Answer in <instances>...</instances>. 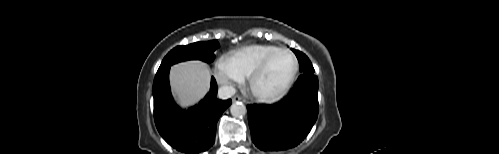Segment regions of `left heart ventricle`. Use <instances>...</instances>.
Returning a JSON list of instances; mask_svg holds the SVG:
<instances>
[{
	"instance_id": "1",
	"label": "left heart ventricle",
	"mask_w": 499,
	"mask_h": 154,
	"mask_svg": "<svg viewBox=\"0 0 499 154\" xmlns=\"http://www.w3.org/2000/svg\"><path fill=\"white\" fill-rule=\"evenodd\" d=\"M293 69V60L287 53H278L269 63L266 71L257 80L255 89L264 95L279 91L288 80Z\"/></svg>"
}]
</instances>
